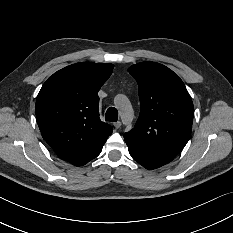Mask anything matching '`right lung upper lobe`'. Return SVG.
Here are the masks:
<instances>
[{
	"label": "right lung upper lobe",
	"mask_w": 233,
	"mask_h": 233,
	"mask_svg": "<svg viewBox=\"0 0 233 233\" xmlns=\"http://www.w3.org/2000/svg\"><path fill=\"white\" fill-rule=\"evenodd\" d=\"M112 69V64L76 63L42 86L35 105L37 123L59 158L82 166L100 154L112 127L99 118L98 91Z\"/></svg>",
	"instance_id": "1"
}]
</instances>
